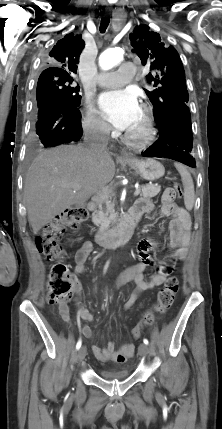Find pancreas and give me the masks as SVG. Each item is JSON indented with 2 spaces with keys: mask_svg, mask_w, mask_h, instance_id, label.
<instances>
[{
  "mask_svg": "<svg viewBox=\"0 0 222 429\" xmlns=\"http://www.w3.org/2000/svg\"><path fill=\"white\" fill-rule=\"evenodd\" d=\"M161 190V187L156 184H146L140 189V196L143 198H152ZM105 206L101 207L96 214V225L101 232H106L110 229L111 224L116 222V213L114 210V202L107 198L103 199Z\"/></svg>",
  "mask_w": 222,
  "mask_h": 429,
  "instance_id": "pancreas-1",
  "label": "pancreas"
}]
</instances>
